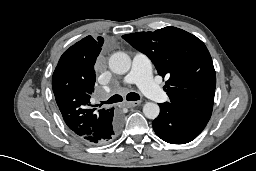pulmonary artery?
<instances>
[{"instance_id": "pulmonary-artery-1", "label": "pulmonary artery", "mask_w": 256, "mask_h": 171, "mask_svg": "<svg viewBox=\"0 0 256 171\" xmlns=\"http://www.w3.org/2000/svg\"><path fill=\"white\" fill-rule=\"evenodd\" d=\"M125 84L135 83L140 90L155 102L165 100V92L158 87L152 78L151 62L143 53H137L132 61L129 73L124 77Z\"/></svg>"}]
</instances>
